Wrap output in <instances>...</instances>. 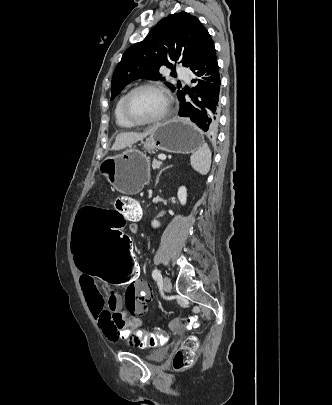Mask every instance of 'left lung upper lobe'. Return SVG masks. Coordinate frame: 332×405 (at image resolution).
Instances as JSON below:
<instances>
[{
    "instance_id": "1",
    "label": "left lung upper lobe",
    "mask_w": 332,
    "mask_h": 405,
    "mask_svg": "<svg viewBox=\"0 0 332 405\" xmlns=\"http://www.w3.org/2000/svg\"><path fill=\"white\" fill-rule=\"evenodd\" d=\"M212 44L210 34L197 17L186 12L167 16L143 41L124 52L113 74L111 100L136 79H161L160 67L172 68V61H180L191 69ZM182 91L177 90V94Z\"/></svg>"
}]
</instances>
